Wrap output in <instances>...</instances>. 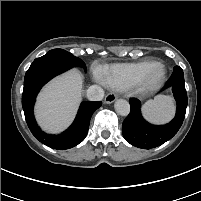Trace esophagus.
<instances>
[{
    "label": "esophagus",
    "mask_w": 201,
    "mask_h": 201,
    "mask_svg": "<svg viewBox=\"0 0 201 201\" xmlns=\"http://www.w3.org/2000/svg\"><path fill=\"white\" fill-rule=\"evenodd\" d=\"M116 99H117V95H116V94H114V93H108V94L105 96L104 102H105L106 104H111V103H113Z\"/></svg>",
    "instance_id": "obj_1"
}]
</instances>
